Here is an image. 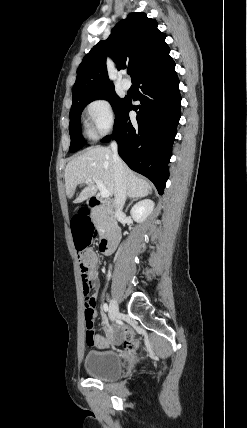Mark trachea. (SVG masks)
<instances>
[{
    "instance_id": "obj_1",
    "label": "trachea",
    "mask_w": 247,
    "mask_h": 428,
    "mask_svg": "<svg viewBox=\"0 0 247 428\" xmlns=\"http://www.w3.org/2000/svg\"><path fill=\"white\" fill-rule=\"evenodd\" d=\"M131 73V70H128V74H130Z\"/></svg>"
}]
</instances>
